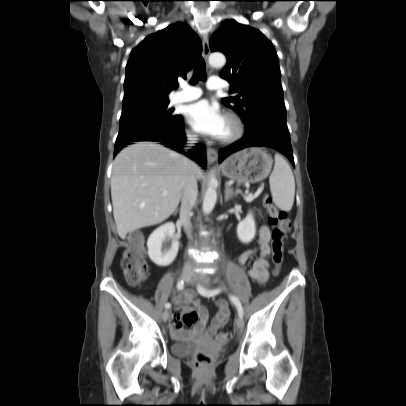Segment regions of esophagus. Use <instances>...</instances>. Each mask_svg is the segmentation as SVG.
Returning <instances> with one entry per match:
<instances>
[{
    "label": "esophagus",
    "mask_w": 406,
    "mask_h": 406,
    "mask_svg": "<svg viewBox=\"0 0 406 406\" xmlns=\"http://www.w3.org/2000/svg\"><path fill=\"white\" fill-rule=\"evenodd\" d=\"M202 48H203V50H202L203 57L207 61L209 53H210L209 38H208L207 35H205L203 37ZM207 69H208L209 72H211V70H212L209 65H207ZM217 158H218L217 151L214 148L208 147L207 148V161H208V163H210V164L215 163Z\"/></svg>",
    "instance_id": "34e87169"
}]
</instances>
